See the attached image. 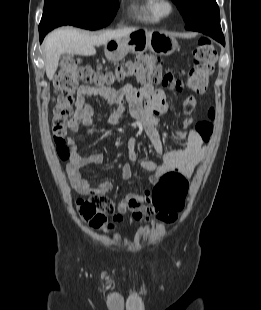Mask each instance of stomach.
<instances>
[{
  "label": "stomach",
  "mask_w": 261,
  "mask_h": 310,
  "mask_svg": "<svg viewBox=\"0 0 261 310\" xmlns=\"http://www.w3.org/2000/svg\"><path fill=\"white\" fill-rule=\"evenodd\" d=\"M178 47L176 39L163 31L136 30L120 40H111L105 45V55L108 60L118 62L128 52L139 53L150 50L162 56L172 54Z\"/></svg>",
  "instance_id": "stomach-1"
}]
</instances>
